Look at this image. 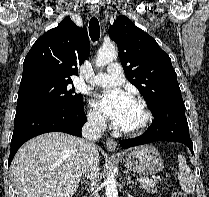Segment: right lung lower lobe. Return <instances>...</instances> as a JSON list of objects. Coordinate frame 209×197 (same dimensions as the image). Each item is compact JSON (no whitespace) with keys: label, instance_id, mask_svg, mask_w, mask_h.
<instances>
[{"label":"right lung lower lobe","instance_id":"right-lung-lower-lobe-1","mask_svg":"<svg viewBox=\"0 0 209 197\" xmlns=\"http://www.w3.org/2000/svg\"><path fill=\"white\" fill-rule=\"evenodd\" d=\"M87 121L83 104L79 106H47L29 109L15 115L8 165L20 146L27 140L52 131L82 136Z\"/></svg>","mask_w":209,"mask_h":197}]
</instances>
